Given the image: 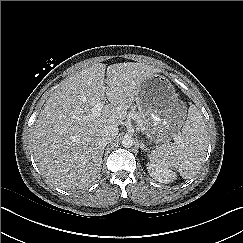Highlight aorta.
<instances>
[{"instance_id":"1","label":"aorta","mask_w":243,"mask_h":243,"mask_svg":"<svg viewBox=\"0 0 243 243\" xmlns=\"http://www.w3.org/2000/svg\"><path fill=\"white\" fill-rule=\"evenodd\" d=\"M122 145L125 148L132 147L134 145V139L129 135H125L122 139Z\"/></svg>"}]
</instances>
